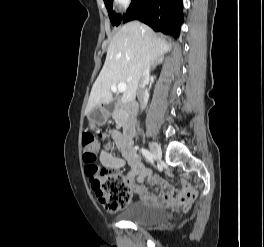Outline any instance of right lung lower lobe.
Listing matches in <instances>:
<instances>
[{
	"label": "right lung lower lobe",
	"mask_w": 264,
	"mask_h": 247,
	"mask_svg": "<svg viewBox=\"0 0 264 247\" xmlns=\"http://www.w3.org/2000/svg\"><path fill=\"white\" fill-rule=\"evenodd\" d=\"M138 19L153 30L177 38L183 23L182 0H133L123 22Z\"/></svg>",
	"instance_id": "obj_1"
}]
</instances>
